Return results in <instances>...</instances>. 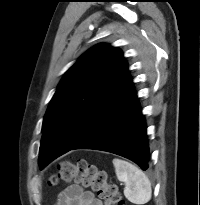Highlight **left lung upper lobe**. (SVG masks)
Instances as JSON below:
<instances>
[{"instance_id":"1","label":"left lung upper lobe","mask_w":200,"mask_h":205,"mask_svg":"<svg viewBox=\"0 0 200 205\" xmlns=\"http://www.w3.org/2000/svg\"><path fill=\"white\" fill-rule=\"evenodd\" d=\"M127 75L128 63L122 52L107 44L88 50L65 73L43 120L41 170L86 136L113 101Z\"/></svg>"}]
</instances>
